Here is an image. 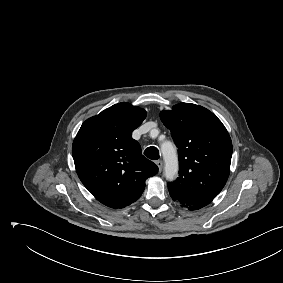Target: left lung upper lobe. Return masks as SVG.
<instances>
[{"label":"left lung upper lobe","mask_w":283,"mask_h":283,"mask_svg":"<svg viewBox=\"0 0 283 283\" xmlns=\"http://www.w3.org/2000/svg\"><path fill=\"white\" fill-rule=\"evenodd\" d=\"M160 118L178 147L179 177L168 182L173 201L189 210L212 202L230 173L232 142L222 122L208 109L180 103Z\"/></svg>","instance_id":"left-lung-upper-lobe-1"}]
</instances>
